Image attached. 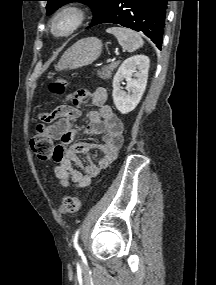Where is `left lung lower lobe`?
<instances>
[{"label": "left lung lower lobe", "instance_id": "obj_1", "mask_svg": "<svg viewBox=\"0 0 216 285\" xmlns=\"http://www.w3.org/2000/svg\"><path fill=\"white\" fill-rule=\"evenodd\" d=\"M167 1L170 0H113L102 18L91 26L120 24L144 33L161 49Z\"/></svg>", "mask_w": 216, "mask_h": 285}]
</instances>
